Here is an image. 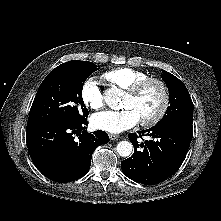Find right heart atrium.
Segmentation results:
<instances>
[{
    "label": "right heart atrium",
    "mask_w": 221,
    "mask_h": 221,
    "mask_svg": "<svg viewBox=\"0 0 221 221\" xmlns=\"http://www.w3.org/2000/svg\"><path fill=\"white\" fill-rule=\"evenodd\" d=\"M82 102L92 110H99L104 105V95L96 78H88L81 87Z\"/></svg>",
    "instance_id": "d8ad5b80"
}]
</instances>
